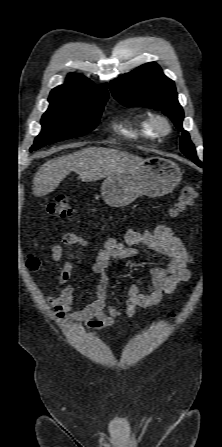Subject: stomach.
<instances>
[{
	"mask_svg": "<svg viewBox=\"0 0 222 447\" xmlns=\"http://www.w3.org/2000/svg\"><path fill=\"white\" fill-rule=\"evenodd\" d=\"M182 178L179 166L171 160L150 157L133 169L106 177L101 194L111 207H125L138 197L164 196L174 190Z\"/></svg>",
	"mask_w": 222,
	"mask_h": 447,
	"instance_id": "0dacf381",
	"label": "stomach"
}]
</instances>
